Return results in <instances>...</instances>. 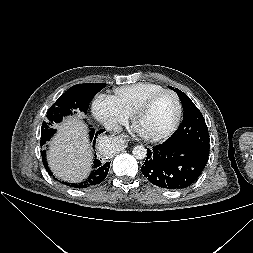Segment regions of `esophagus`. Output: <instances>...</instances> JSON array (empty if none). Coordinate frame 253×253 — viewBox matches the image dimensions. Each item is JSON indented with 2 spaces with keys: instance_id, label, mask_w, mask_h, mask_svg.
Masks as SVG:
<instances>
[{
  "instance_id": "esophagus-1",
  "label": "esophagus",
  "mask_w": 253,
  "mask_h": 253,
  "mask_svg": "<svg viewBox=\"0 0 253 253\" xmlns=\"http://www.w3.org/2000/svg\"><path fill=\"white\" fill-rule=\"evenodd\" d=\"M117 138L126 140V136L124 134L117 135Z\"/></svg>"
}]
</instances>
